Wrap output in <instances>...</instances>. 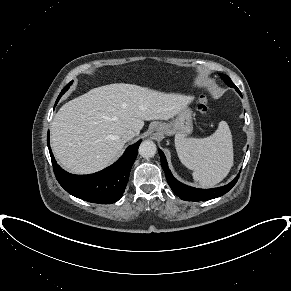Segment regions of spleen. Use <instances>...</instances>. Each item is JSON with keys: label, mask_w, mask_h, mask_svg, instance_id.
Wrapping results in <instances>:
<instances>
[{"label": "spleen", "mask_w": 291, "mask_h": 291, "mask_svg": "<svg viewBox=\"0 0 291 291\" xmlns=\"http://www.w3.org/2000/svg\"><path fill=\"white\" fill-rule=\"evenodd\" d=\"M175 147L183 165L193 171L192 176L203 187L221 182L233 166V141L228 124L219 123L216 132L207 138L175 136Z\"/></svg>", "instance_id": "obj_1"}]
</instances>
